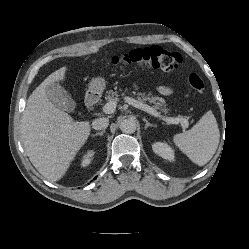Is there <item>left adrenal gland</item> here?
<instances>
[{
	"instance_id": "1",
	"label": "left adrenal gland",
	"mask_w": 249,
	"mask_h": 249,
	"mask_svg": "<svg viewBox=\"0 0 249 249\" xmlns=\"http://www.w3.org/2000/svg\"><path fill=\"white\" fill-rule=\"evenodd\" d=\"M143 121L146 123V125H145V129H147L148 127H156L155 125L150 124V123L148 122V120H147V119H145V118H143Z\"/></svg>"
}]
</instances>
